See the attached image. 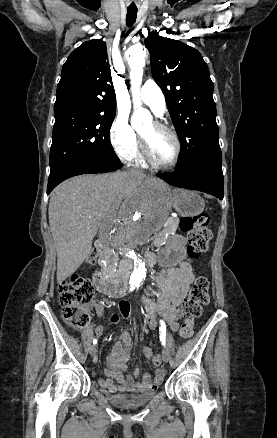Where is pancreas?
Returning a JSON list of instances; mask_svg holds the SVG:
<instances>
[{"instance_id":"cf45deb5","label":"pancreas","mask_w":277,"mask_h":438,"mask_svg":"<svg viewBox=\"0 0 277 438\" xmlns=\"http://www.w3.org/2000/svg\"><path fill=\"white\" fill-rule=\"evenodd\" d=\"M173 223L174 224H168L166 229H164V228L159 229V231H158L159 235H154L152 237V241L149 244L151 246H153L154 244H161L163 242V238H165L167 232L168 233H175L176 229H177L176 226L180 225L181 222H180V220L176 219V220H174ZM106 264L109 267H112L115 264V261L112 258H109L106 261Z\"/></svg>"}]
</instances>
